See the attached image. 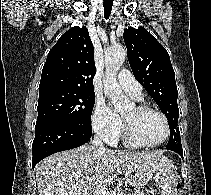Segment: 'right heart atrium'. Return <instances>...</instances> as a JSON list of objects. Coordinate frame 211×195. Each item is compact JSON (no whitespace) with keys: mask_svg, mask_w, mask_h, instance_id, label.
Instances as JSON below:
<instances>
[{"mask_svg":"<svg viewBox=\"0 0 211 195\" xmlns=\"http://www.w3.org/2000/svg\"><path fill=\"white\" fill-rule=\"evenodd\" d=\"M92 127L100 138L114 144L122 131V119L102 99H98L92 114Z\"/></svg>","mask_w":211,"mask_h":195,"instance_id":"d8ad5b80","label":"right heart atrium"}]
</instances>
